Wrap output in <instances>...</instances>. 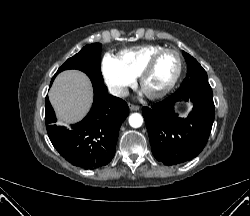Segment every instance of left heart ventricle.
I'll list each match as a JSON object with an SVG mask.
<instances>
[{
  "label": "left heart ventricle",
  "instance_id": "obj_1",
  "mask_svg": "<svg viewBox=\"0 0 250 216\" xmlns=\"http://www.w3.org/2000/svg\"><path fill=\"white\" fill-rule=\"evenodd\" d=\"M177 68L178 60L175 54L165 53L161 55L145 78L143 91L146 94H155L162 91L173 79Z\"/></svg>",
  "mask_w": 250,
  "mask_h": 216
}]
</instances>
